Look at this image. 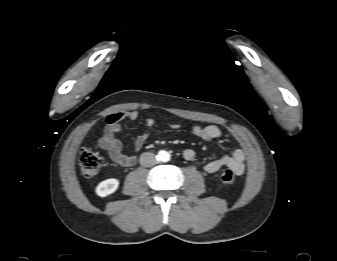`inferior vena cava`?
Returning a JSON list of instances; mask_svg holds the SVG:
<instances>
[{"mask_svg":"<svg viewBox=\"0 0 337 261\" xmlns=\"http://www.w3.org/2000/svg\"><path fill=\"white\" fill-rule=\"evenodd\" d=\"M140 164L144 167H151L156 164V158L153 153L145 152L140 156Z\"/></svg>","mask_w":337,"mask_h":261,"instance_id":"1","label":"inferior vena cava"}]
</instances>
